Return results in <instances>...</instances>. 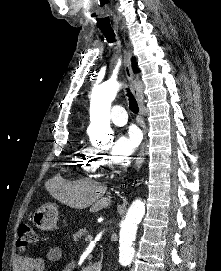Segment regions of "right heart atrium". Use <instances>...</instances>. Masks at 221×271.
I'll return each instance as SVG.
<instances>
[{
	"instance_id": "1",
	"label": "right heart atrium",
	"mask_w": 221,
	"mask_h": 271,
	"mask_svg": "<svg viewBox=\"0 0 221 271\" xmlns=\"http://www.w3.org/2000/svg\"><path fill=\"white\" fill-rule=\"evenodd\" d=\"M74 155L82 163L86 161L88 163L86 166H94L96 168L94 171H80L81 173H101L100 167H105V159H109V154H102L100 151H84V153L81 151L79 154Z\"/></svg>"
}]
</instances>
